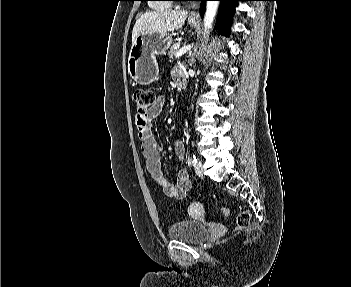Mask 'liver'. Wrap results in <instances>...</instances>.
<instances>
[{
    "mask_svg": "<svg viewBox=\"0 0 351 287\" xmlns=\"http://www.w3.org/2000/svg\"><path fill=\"white\" fill-rule=\"evenodd\" d=\"M187 11H151L137 19L132 31V44L143 33L171 32L180 29L187 18Z\"/></svg>",
    "mask_w": 351,
    "mask_h": 287,
    "instance_id": "obj_1",
    "label": "liver"
}]
</instances>
